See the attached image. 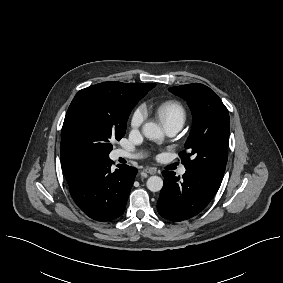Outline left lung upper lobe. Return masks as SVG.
<instances>
[{"instance_id": "5c2ea615", "label": "left lung upper lobe", "mask_w": 283, "mask_h": 283, "mask_svg": "<svg viewBox=\"0 0 283 283\" xmlns=\"http://www.w3.org/2000/svg\"><path fill=\"white\" fill-rule=\"evenodd\" d=\"M184 98L193 113L194 126L181 153L186 171L219 189L228 159L229 113L221 99L209 87L194 83L169 88Z\"/></svg>"}]
</instances>
